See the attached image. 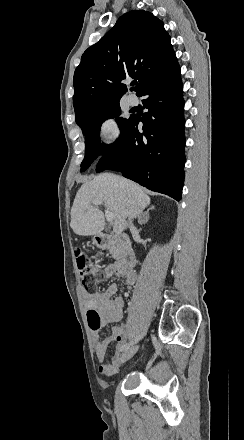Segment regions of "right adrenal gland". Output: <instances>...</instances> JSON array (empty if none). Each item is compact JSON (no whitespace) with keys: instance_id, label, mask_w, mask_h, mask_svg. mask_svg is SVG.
<instances>
[{"instance_id":"right-adrenal-gland-1","label":"right adrenal gland","mask_w":244,"mask_h":440,"mask_svg":"<svg viewBox=\"0 0 244 440\" xmlns=\"http://www.w3.org/2000/svg\"><path fill=\"white\" fill-rule=\"evenodd\" d=\"M149 210H154V206H150V208H148L147 212H141V214H137L139 224H140V218H141V216H147Z\"/></svg>"}]
</instances>
